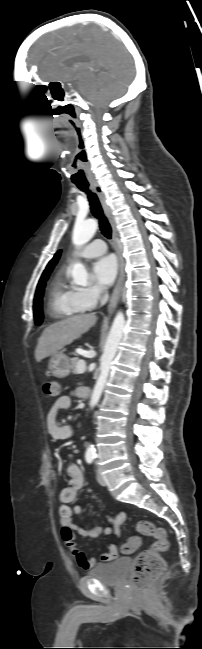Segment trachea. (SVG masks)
Wrapping results in <instances>:
<instances>
[{
    "instance_id": "1",
    "label": "trachea",
    "mask_w": 202,
    "mask_h": 649,
    "mask_svg": "<svg viewBox=\"0 0 202 649\" xmlns=\"http://www.w3.org/2000/svg\"><path fill=\"white\" fill-rule=\"evenodd\" d=\"M76 185L80 190L88 194V200L90 202L91 211L93 215L99 220L100 230L106 238L110 239L112 233L111 226L103 214L97 195L95 193H92L89 190L88 183H76Z\"/></svg>"
}]
</instances>
